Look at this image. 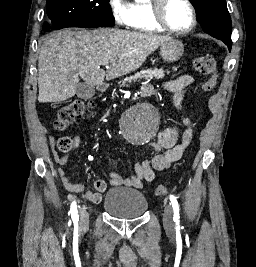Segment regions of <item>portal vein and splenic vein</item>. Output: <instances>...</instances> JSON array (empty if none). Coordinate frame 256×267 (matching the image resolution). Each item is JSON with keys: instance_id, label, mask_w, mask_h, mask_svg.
Wrapping results in <instances>:
<instances>
[{"instance_id": "1", "label": "portal vein and splenic vein", "mask_w": 256, "mask_h": 267, "mask_svg": "<svg viewBox=\"0 0 256 267\" xmlns=\"http://www.w3.org/2000/svg\"><path fill=\"white\" fill-rule=\"evenodd\" d=\"M102 66H108V62H103Z\"/></svg>"}]
</instances>
